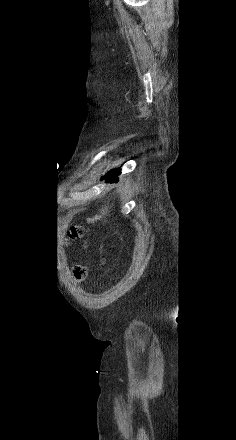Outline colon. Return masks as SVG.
I'll return each mask as SVG.
<instances>
[{
    "instance_id": "colon-1",
    "label": "colon",
    "mask_w": 236,
    "mask_h": 440,
    "mask_svg": "<svg viewBox=\"0 0 236 440\" xmlns=\"http://www.w3.org/2000/svg\"><path fill=\"white\" fill-rule=\"evenodd\" d=\"M82 234L83 229L81 227H73L70 232L72 238H78L82 236ZM73 274L78 281H84L87 276V269L82 265H76L73 268Z\"/></svg>"
}]
</instances>
